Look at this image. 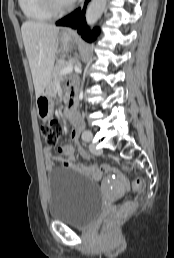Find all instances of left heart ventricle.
<instances>
[{
    "instance_id": "b2bd125f",
    "label": "left heart ventricle",
    "mask_w": 174,
    "mask_h": 258,
    "mask_svg": "<svg viewBox=\"0 0 174 258\" xmlns=\"http://www.w3.org/2000/svg\"><path fill=\"white\" fill-rule=\"evenodd\" d=\"M59 3L64 4V3H68V0H57Z\"/></svg>"
}]
</instances>
